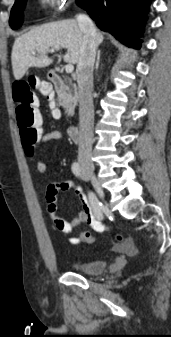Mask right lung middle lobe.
I'll return each instance as SVG.
<instances>
[{
	"label": "right lung middle lobe",
	"instance_id": "dd1d6c3e",
	"mask_svg": "<svg viewBox=\"0 0 171 337\" xmlns=\"http://www.w3.org/2000/svg\"><path fill=\"white\" fill-rule=\"evenodd\" d=\"M27 0H16L11 10L9 24L12 29H17L23 23V10Z\"/></svg>",
	"mask_w": 171,
	"mask_h": 337
}]
</instances>
